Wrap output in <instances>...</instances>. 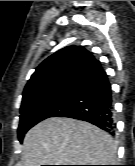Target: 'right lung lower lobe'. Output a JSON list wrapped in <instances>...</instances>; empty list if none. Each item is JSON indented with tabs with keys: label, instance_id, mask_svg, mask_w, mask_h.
Returning a JSON list of instances; mask_svg holds the SVG:
<instances>
[{
	"label": "right lung lower lobe",
	"instance_id": "right-lung-lower-lobe-1",
	"mask_svg": "<svg viewBox=\"0 0 135 166\" xmlns=\"http://www.w3.org/2000/svg\"><path fill=\"white\" fill-rule=\"evenodd\" d=\"M72 99L55 117L87 121L114 135L112 90L102 67L70 85Z\"/></svg>",
	"mask_w": 135,
	"mask_h": 166
}]
</instances>
